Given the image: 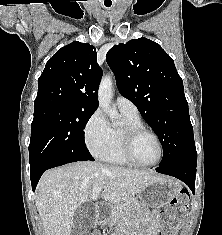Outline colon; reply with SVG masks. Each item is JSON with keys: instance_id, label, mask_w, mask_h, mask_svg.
I'll list each match as a JSON object with an SVG mask.
<instances>
[{"instance_id": "5ec220e1", "label": "colon", "mask_w": 222, "mask_h": 235, "mask_svg": "<svg viewBox=\"0 0 222 235\" xmlns=\"http://www.w3.org/2000/svg\"><path fill=\"white\" fill-rule=\"evenodd\" d=\"M188 205V192L186 190H180L177 192L169 206L164 211L162 229L159 235H176L178 225L187 213Z\"/></svg>"}]
</instances>
